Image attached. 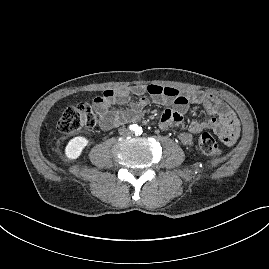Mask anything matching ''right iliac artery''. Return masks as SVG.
Segmentation results:
<instances>
[{
  "label": "right iliac artery",
  "mask_w": 269,
  "mask_h": 269,
  "mask_svg": "<svg viewBox=\"0 0 269 269\" xmlns=\"http://www.w3.org/2000/svg\"><path fill=\"white\" fill-rule=\"evenodd\" d=\"M129 129H130L131 131H135V130L137 129V127H136L135 124H132V125L129 126Z\"/></svg>",
  "instance_id": "1"
}]
</instances>
